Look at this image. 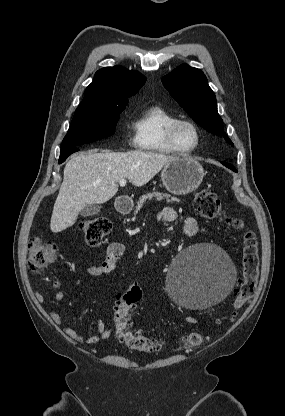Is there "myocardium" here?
I'll return each mask as SVG.
<instances>
[{
	"mask_svg": "<svg viewBox=\"0 0 285 416\" xmlns=\"http://www.w3.org/2000/svg\"><path fill=\"white\" fill-rule=\"evenodd\" d=\"M181 124H187L194 130V133H195V136H196V144L191 149H182L178 146V144L176 142L175 132H176L177 127ZM166 140H167V143H168L170 149L174 153L179 154V155H191V154H194L195 152H197V150L200 148V145H201L200 129L197 126V124L195 122H193L192 120H190V119L176 118L167 127Z\"/></svg>",
	"mask_w": 285,
	"mask_h": 416,
	"instance_id": "myocardium-1",
	"label": "myocardium"
}]
</instances>
